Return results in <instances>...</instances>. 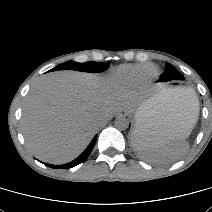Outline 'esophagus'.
Instances as JSON below:
<instances>
[{"mask_svg":"<svg viewBox=\"0 0 212 212\" xmlns=\"http://www.w3.org/2000/svg\"><path fill=\"white\" fill-rule=\"evenodd\" d=\"M118 115H119V116H125V115H126V112H125L124 110H120V111L118 112Z\"/></svg>","mask_w":212,"mask_h":212,"instance_id":"obj_1","label":"esophagus"}]
</instances>
